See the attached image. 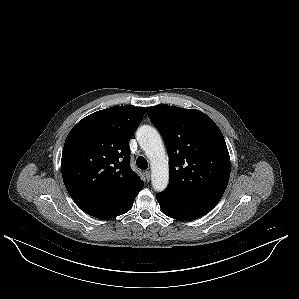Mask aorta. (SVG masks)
Masks as SVG:
<instances>
[{
    "label": "aorta",
    "instance_id": "1",
    "mask_svg": "<svg viewBox=\"0 0 299 299\" xmlns=\"http://www.w3.org/2000/svg\"><path fill=\"white\" fill-rule=\"evenodd\" d=\"M136 138L150 161L151 182L154 190L164 191L169 182V168L160 134L155 128L144 125L137 130Z\"/></svg>",
    "mask_w": 299,
    "mask_h": 299
}]
</instances>
